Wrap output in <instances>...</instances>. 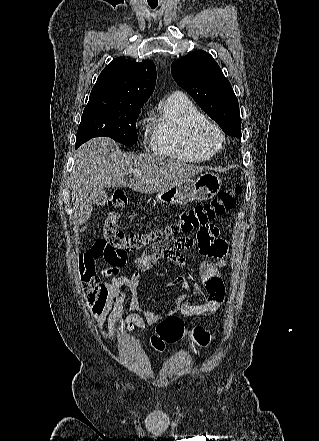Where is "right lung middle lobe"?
Returning a JSON list of instances; mask_svg holds the SVG:
<instances>
[{
    "label": "right lung middle lobe",
    "instance_id": "1",
    "mask_svg": "<svg viewBox=\"0 0 319 441\" xmlns=\"http://www.w3.org/2000/svg\"><path fill=\"white\" fill-rule=\"evenodd\" d=\"M142 106L86 105L78 127L76 149L92 137L108 136L126 145L137 143L136 121Z\"/></svg>",
    "mask_w": 319,
    "mask_h": 441
}]
</instances>
